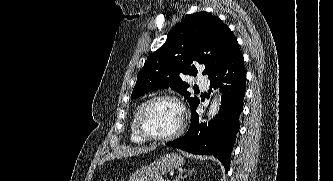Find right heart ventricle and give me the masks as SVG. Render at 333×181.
I'll return each instance as SVG.
<instances>
[{
    "instance_id": "e07e8e85",
    "label": "right heart ventricle",
    "mask_w": 333,
    "mask_h": 181,
    "mask_svg": "<svg viewBox=\"0 0 333 181\" xmlns=\"http://www.w3.org/2000/svg\"><path fill=\"white\" fill-rule=\"evenodd\" d=\"M140 106H138L133 114L132 120H131V126H130V130H131V140L135 143H144L146 142V139H144L142 136L139 135V133L136 130L135 127V120H136V116L138 113Z\"/></svg>"
}]
</instances>
